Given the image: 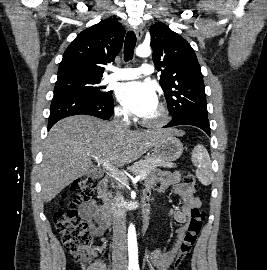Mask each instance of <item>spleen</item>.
<instances>
[{
	"label": "spleen",
	"mask_w": 267,
	"mask_h": 270,
	"mask_svg": "<svg viewBox=\"0 0 267 270\" xmlns=\"http://www.w3.org/2000/svg\"><path fill=\"white\" fill-rule=\"evenodd\" d=\"M192 163L197 167L196 176L198 180L205 186L211 184L213 173L211 167V159L206 148L202 145H197L192 152Z\"/></svg>",
	"instance_id": "3e777b00"
}]
</instances>
